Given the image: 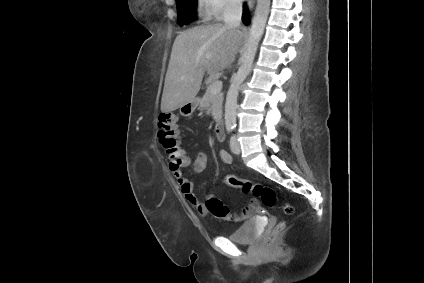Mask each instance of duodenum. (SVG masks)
Returning a JSON list of instances; mask_svg holds the SVG:
<instances>
[{
	"label": "duodenum",
	"instance_id": "1",
	"mask_svg": "<svg viewBox=\"0 0 424 283\" xmlns=\"http://www.w3.org/2000/svg\"><path fill=\"white\" fill-rule=\"evenodd\" d=\"M223 130H224V121L222 119H219L214 128L215 136L217 140H222L223 138Z\"/></svg>",
	"mask_w": 424,
	"mask_h": 283
}]
</instances>
